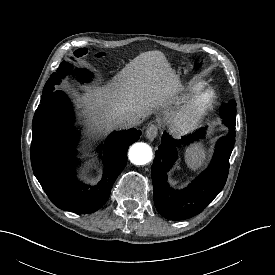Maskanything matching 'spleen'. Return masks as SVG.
Returning <instances> with one entry per match:
<instances>
[{"mask_svg": "<svg viewBox=\"0 0 275 275\" xmlns=\"http://www.w3.org/2000/svg\"><path fill=\"white\" fill-rule=\"evenodd\" d=\"M207 158V151L201 144H194L185 151V162L191 170H198L201 168Z\"/></svg>", "mask_w": 275, "mask_h": 275, "instance_id": "obj_1", "label": "spleen"}]
</instances>
